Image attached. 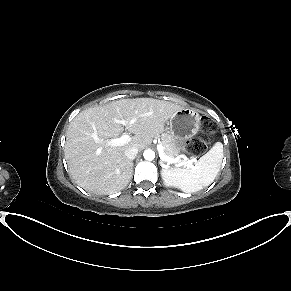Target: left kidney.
I'll use <instances>...</instances> for the list:
<instances>
[{"label":"left kidney","instance_id":"left-kidney-1","mask_svg":"<svg viewBox=\"0 0 291 291\" xmlns=\"http://www.w3.org/2000/svg\"><path fill=\"white\" fill-rule=\"evenodd\" d=\"M163 180H164L165 185L172 186V183L169 180H167L165 178H163Z\"/></svg>","mask_w":291,"mask_h":291}]
</instances>
